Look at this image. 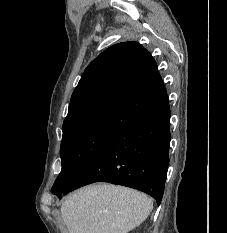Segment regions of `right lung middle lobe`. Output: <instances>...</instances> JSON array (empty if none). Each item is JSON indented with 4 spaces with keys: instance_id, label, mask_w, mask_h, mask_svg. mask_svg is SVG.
Here are the masks:
<instances>
[{
    "instance_id": "1",
    "label": "right lung middle lobe",
    "mask_w": 227,
    "mask_h": 233,
    "mask_svg": "<svg viewBox=\"0 0 227 233\" xmlns=\"http://www.w3.org/2000/svg\"><path fill=\"white\" fill-rule=\"evenodd\" d=\"M116 133L103 129H80L63 134L62 169L51 192L68 187Z\"/></svg>"
}]
</instances>
